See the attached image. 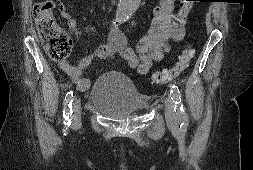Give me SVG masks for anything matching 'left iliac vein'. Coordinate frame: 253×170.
<instances>
[{
	"instance_id": "1",
	"label": "left iliac vein",
	"mask_w": 253,
	"mask_h": 170,
	"mask_svg": "<svg viewBox=\"0 0 253 170\" xmlns=\"http://www.w3.org/2000/svg\"><path fill=\"white\" fill-rule=\"evenodd\" d=\"M165 118L168 126L176 127L178 120L174 112V102L171 99V96L166 97L165 99Z\"/></svg>"
}]
</instances>
